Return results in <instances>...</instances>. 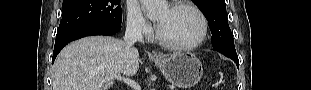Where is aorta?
<instances>
[{
	"label": "aorta",
	"instance_id": "1",
	"mask_svg": "<svg viewBox=\"0 0 311 90\" xmlns=\"http://www.w3.org/2000/svg\"><path fill=\"white\" fill-rule=\"evenodd\" d=\"M142 5L147 10V15L152 18L166 9V0H141Z\"/></svg>",
	"mask_w": 311,
	"mask_h": 90
}]
</instances>
